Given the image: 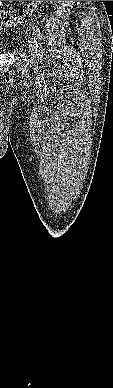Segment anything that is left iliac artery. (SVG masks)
I'll return each instance as SVG.
<instances>
[{
  "label": "left iliac artery",
  "mask_w": 113,
  "mask_h": 388,
  "mask_svg": "<svg viewBox=\"0 0 113 388\" xmlns=\"http://www.w3.org/2000/svg\"><path fill=\"white\" fill-rule=\"evenodd\" d=\"M32 33L34 37V42L36 46V50L39 51L40 47L42 46V35L40 33V29L36 24L32 25Z\"/></svg>",
  "instance_id": "44dca946"
}]
</instances>
